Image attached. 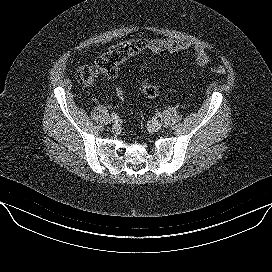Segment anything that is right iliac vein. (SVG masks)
Returning a JSON list of instances; mask_svg holds the SVG:
<instances>
[{
    "label": "right iliac vein",
    "instance_id": "63e3f726",
    "mask_svg": "<svg viewBox=\"0 0 272 272\" xmlns=\"http://www.w3.org/2000/svg\"><path fill=\"white\" fill-rule=\"evenodd\" d=\"M110 121L113 123V124H117L119 122V119L118 117L116 118H111Z\"/></svg>",
    "mask_w": 272,
    "mask_h": 272
}]
</instances>
